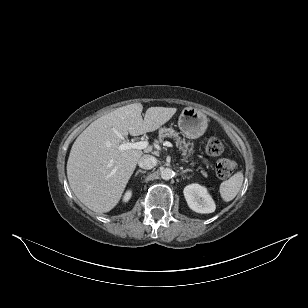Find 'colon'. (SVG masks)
<instances>
[{
  "mask_svg": "<svg viewBox=\"0 0 308 308\" xmlns=\"http://www.w3.org/2000/svg\"><path fill=\"white\" fill-rule=\"evenodd\" d=\"M222 141L217 137H210L206 143V150L210 155H219L223 152ZM235 164L232 160L223 158L216 164V174L219 178H228L234 171Z\"/></svg>",
  "mask_w": 308,
  "mask_h": 308,
  "instance_id": "obj_1",
  "label": "colon"
}]
</instances>
